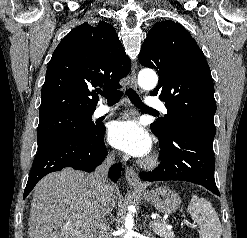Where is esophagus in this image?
<instances>
[{
	"mask_svg": "<svg viewBox=\"0 0 247 238\" xmlns=\"http://www.w3.org/2000/svg\"><path fill=\"white\" fill-rule=\"evenodd\" d=\"M131 85L137 93L142 92L141 88L139 87V85L137 83L134 65H133L132 70H131ZM125 178L130 184H132L136 188H139V189L144 188L143 184L139 180L137 173L133 170L132 167H126L125 168Z\"/></svg>",
	"mask_w": 247,
	"mask_h": 238,
	"instance_id": "34e87169",
	"label": "esophagus"
}]
</instances>
